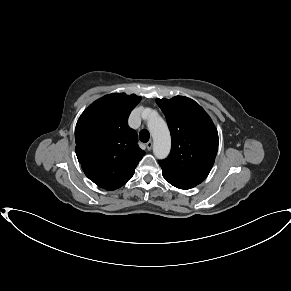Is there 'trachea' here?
<instances>
[{
    "label": "trachea",
    "mask_w": 291,
    "mask_h": 291,
    "mask_svg": "<svg viewBox=\"0 0 291 291\" xmlns=\"http://www.w3.org/2000/svg\"><path fill=\"white\" fill-rule=\"evenodd\" d=\"M150 138V134L147 130H142L140 131L139 133V139L142 141V142H147Z\"/></svg>",
    "instance_id": "trachea-1"
}]
</instances>
